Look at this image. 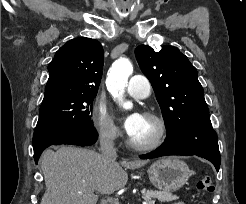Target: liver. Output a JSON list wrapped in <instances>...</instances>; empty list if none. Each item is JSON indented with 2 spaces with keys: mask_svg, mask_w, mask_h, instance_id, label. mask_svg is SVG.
Returning a JSON list of instances; mask_svg holds the SVG:
<instances>
[{
  "mask_svg": "<svg viewBox=\"0 0 246 204\" xmlns=\"http://www.w3.org/2000/svg\"><path fill=\"white\" fill-rule=\"evenodd\" d=\"M148 161H107L91 149L62 146L47 150L41 160L46 191L40 204H96L98 193L122 189L128 175Z\"/></svg>",
  "mask_w": 246,
  "mask_h": 204,
  "instance_id": "obj_1",
  "label": "liver"
}]
</instances>
